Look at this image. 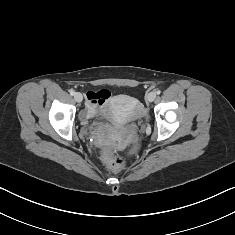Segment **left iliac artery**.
<instances>
[{
  "label": "left iliac artery",
  "mask_w": 235,
  "mask_h": 235,
  "mask_svg": "<svg viewBox=\"0 0 235 235\" xmlns=\"http://www.w3.org/2000/svg\"><path fill=\"white\" fill-rule=\"evenodd\" d=\"M160 93H161V91H160V90H157V91H156V94H158V95H159Z\"/></svg>",
  "instance_id": "44dca946"
}]
</instances>
